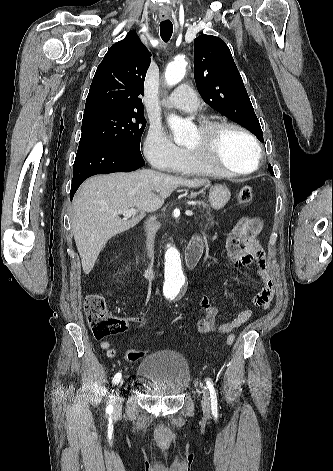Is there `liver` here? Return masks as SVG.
I'll list each match as a JSON object with an SVG mask.
<instances>
[{
  "instance_id": "6515ba94",
  "label": "liver",
  "mask_w": 333,
  "mask_h": 471,
  "mask_svg": "<svg viewBox=\"0 0 333 471\" xmlns=\"http://www.w3.org/2000/svg\"><path fill=\"white\" fill-rule=\"evenodd\" d=\"M207 182L151 169L87 179L74 197L71 220L84 273L91 272L109 239L136 226L147 212L158 210L177 187L196 188ZM134 207L137 215L119 217L118 211Z\"/></svg>"
}]
</instances>
